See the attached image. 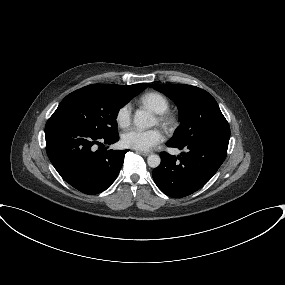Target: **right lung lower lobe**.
Masks as SVG:
<instances>
[{"instance_id": "1", "label": "right lung lower lobe", "mask_w": 285, "mask_h": 285, "mask_svg": "<svg viewBox=\"0 0 285 285\" xmlns=\"http://www.w3.org/2000/svg\"><path fill=\"white\" fill-rule=\"evenodd\" d=\"M46 152L60 174L72 187L85 194H98L116 179L128 150L94 151V145L113 144L118 134L96 136L85 128L60 117L45 126Z\"/></svg>"}]
</instances>
